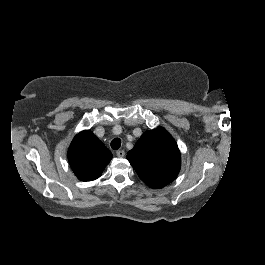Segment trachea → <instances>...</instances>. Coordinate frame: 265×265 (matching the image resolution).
<instances>
[{
	"mask_svg": "<svg viewBox=\"0 0 265 265\" xmlns=\"http://www.w3.org/2000/svg\"><path fill=\"white\" fill-rule=\"evenodd\" d=\"M121 146V140L119 138H115L111 141V148L113 150H118Z\"/></svg>",
	"mask_w": 265,
	"mask_h": 265,
	"instance_id": "3493384b",
	"label": "trachea"
}]
</instances>
